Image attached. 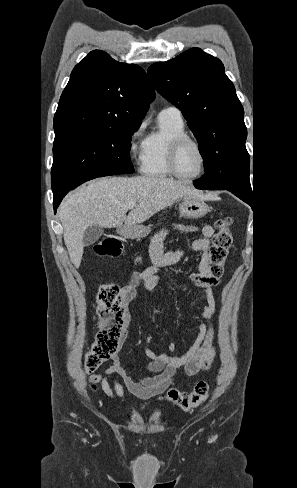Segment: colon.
Listing matches in <instances>:
<instances>
[{"instance_id": "obj_1", "label": "colon", "mask_w": 297, "mask_h": 488, "mask_svg": "<svg viewBox=\"0 0 297 488\" xmlns=\"http://www.w3.org/2000/svg\"><path fill=\"white\" fill-rule=\"evenodd\" d=\"M231 224L232 219L229 217H222L216 222L217 232L210 250L208 272L217 282L223 275L225 261L232 245ZM95 252L100 256L118 257L123 252V246L117 238L107 237L95 245ZM96 305L100 331L85 355V369L88 372L96 370L101 363L118 351L125 327V309L118 286L101 287L97 293ZM209 391V384L200 381L190 392L170 389L163 399L180 409L189 410L206 401Z\"/></svg>"}]
</instances>
